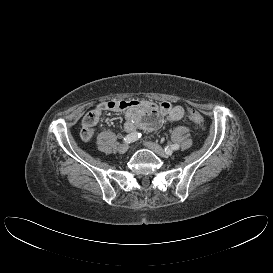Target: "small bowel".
Segmentation results:
<instances>
[{
	"label": "small bowel",
	"mask_w": 273,
	"mask_h": 273,
	"mask_svg": "<svg viewBox=\"0 0 273 273\" xmlns=\"http://www.w3.org/2000/svg\"><path fill=\"white\" fill-rule=\"evenodd\" d=\"M106 111L122 112L126 120L124 129L129 133L136 129L154 131L166 123L181 120L185 115L181 106L167 101L110 100L98 104L84 116L80 133L82 140L89 141L94 137L95 126Z\"/></svg>",
	"instance_id": "1"
}]
</instances>
